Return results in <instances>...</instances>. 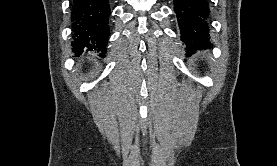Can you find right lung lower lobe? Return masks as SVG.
I'll use <instances>...</instances> for the list:
<instances>
[{
    "label": "right lung lower lobe",
    "instance_id": "right-lung-lower-lobe-1",
    "mask_svg": "<svg viewBox=\"0 0 277 166\" xmlns=\"http://www.w3.org/2000/svg\"><path fill=\"white\" fill-rule=\"evenodd\" d=\"M109 0H73V51L80 55L87 51L101 52L105 56L109 37Z\"/></svg>",
    "mask_w": 277,
    "mask_h": 166
}]
</instances>
